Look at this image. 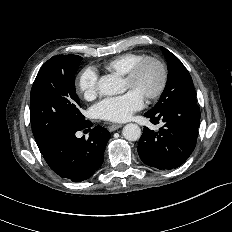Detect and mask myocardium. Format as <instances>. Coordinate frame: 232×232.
<instances>
[{
    "label": "myocardium",
    "instance_id": "myocardium-1",
    "mask_svg": "<svg viewBox=\"0 0 232 232\" xmlns=\"http://www.w3.org/2000/svg\"><path fill=\"white\" fill-rule=\"evenodd\" d=\"M150 64L157 67L159 72V81L155 90L146 94L144 97L147 100H156L163 94L168 81L167 67L160 58L156 56H146L142 58L127 72L126 80H128L132 85L135 84L143 68Z\"/></svg>",
    "mask_w": 232,
    "mask_h": 232
}]
</instances>
